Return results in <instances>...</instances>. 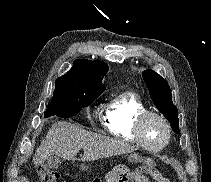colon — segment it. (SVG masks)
<instances>
[{
  "instance_id": "1",
  "label": "colon",
  "mask_w": 211,
  "mask_h": 182,
  "mask_svg": "<svg viewBox=\"0 0 211 182\" xmlns=\"http://www.w3.org/2000/svg\"><path fill=\"white\" fill-rule=\"evenodd\" d=\"M38 174L41 182H57L58 174L48 168L44 163H39ZM146 175H149L153 182H170L156 167L147 165L130 169L125 166H118L112 169L108 175L110 182H148ZM89 182H107L106 177L93 179Z\"/></svg>"
}]
</instances>
